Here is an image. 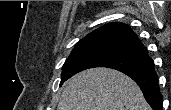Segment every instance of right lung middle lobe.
Wrapping results in <instances>:
<instances>
[{"label":"right lung middle lobe","mask_w":171,"mask_h":110,"mask_svg":"<svg viewBox=\"0 0 171 110\" xmlns=\"http://www.w3.org/2000/svg\"><path fill=\"white\" fill-rule=\"evenodd\" d=\"M107 67L121 72L146 71L153 60L133 49L104 43L75 46L62 68L61 84L72 75L89 68Z\"/></svg>","instance_id":"obj_1"}]
</instances>
